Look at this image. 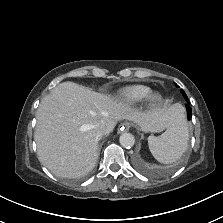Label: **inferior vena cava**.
<instances>
[{
  "mask_svg": "<svg viewBox=\"0 0 223 223\" xmlns=\"http://www.w3.org/2000/svg\"><path fill=\"white\" fill-rule=\"evenodd\" d=\"M95 130L97 131L99 136H102L106 132V127L104 124H98L95 127Z\"/></svg>",
  "mask_w": 223,
  "mask_h": 223,
  "instance_id": "602c4592",
  "label": "inferior vena cava"
}]
</instances>
